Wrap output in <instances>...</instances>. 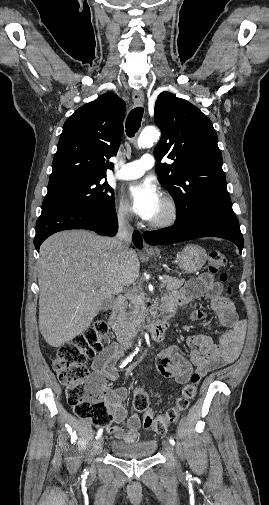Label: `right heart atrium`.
I'll list each match as a JSON object with an SVG mask.
<instances>
[{"instance_id":"obj_1","label":"right heart atrium","mask_w":269,"mask_h":505,"mask_svg":"<svg viewBox=\"0 0 269 505\" xmlns=\"http://www.w3.org/2000/svg\"><path fill=\"white\" fill-rule=\"evenodd\" d=\"M116 215H117L118 220L122 223H128L132 218V215H131V212H130L128 206L123 201H119L117 203Z\"/></svg>"}]
</instances>
